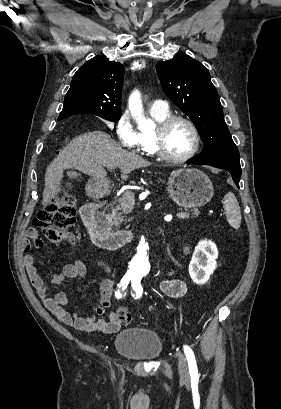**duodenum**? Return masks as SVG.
I'll list each match as a JSON object with an SVG mask.
<instances>
[{
	"label": "duodenum",
	"mask_w": 281,
	"mask_h": 409,
	"mask_svg": "<svg viewBox=\"0 0 281 409\" xmlns=\"http://www.w3.org/2000/svg\"><path fill=\"white\" fill-rule=\"evenodd\" d=\"M107 189L102 187L98 196L102 203L109 201V196L105 194ZM81 217L89 231L92 242L100 249L114 250L122 245L131 243L133 234L126 230L112 232L107 230L104 216L96 203H86L80 210Z\"/></svg>",
	"instance_id": "duodenum-1"
}]
</instances>
